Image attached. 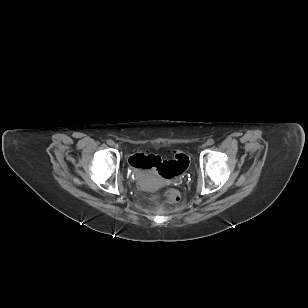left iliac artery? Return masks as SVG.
<instances>
[{
  "label": "left iliac artery",
  "mask_w": 308,
  "mask_h": 308,
  "mask_svg": "<svg viewBox=\"0 0 308 308\" xmlns=\"http://www.w3.org/2000/svg\"><path fill=\"white\" fill-rule=\"evenodd\" d=\"M207 144L208 145H213L214 144V140L213 139H208Z\"/></svg>",
  "instance_id": "1"
}]
</instances>
